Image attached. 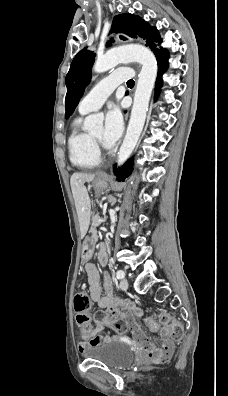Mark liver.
<instances>
[{
  "label": "liver",
  "mask_w": 228,
  "mask_h": 396,
  "mask_svg": "<svg viewBox=\"0 0 228 396\" xmlns=\"http://www.w3.org/2000/svg\"><path fill=\"white\" fill-rule=\"evenodd\" d=\"M94 174L74 173L70 178V185L78 214L81 237H84L90 221V198L85 187V182H91Z\"/></svg>",
  "instance_id": "liver-1"
}]
</instances>
